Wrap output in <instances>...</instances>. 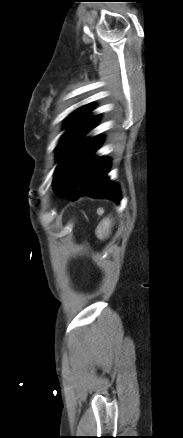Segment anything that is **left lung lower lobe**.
Returning <instances> with one entry per match:
<instances>
[{"label": "left lung lower lobe", "mask_w": 183, "mask_h": 438, "mask_svg": "<svg viewBox=\"0 0 183 438\" xmlns=\"http://www.w3.org/2000/svg\"><path fill=\"white\" fill-rule=\"evenodd\" d=\"M101 142L99 136L84 139L61 158L53 179L59 197L73 200L87 195L120 202L118 186L107 177L109 160L94 156Z\"/></svg>", "instance_id": "obj_1"}]
</instances>
